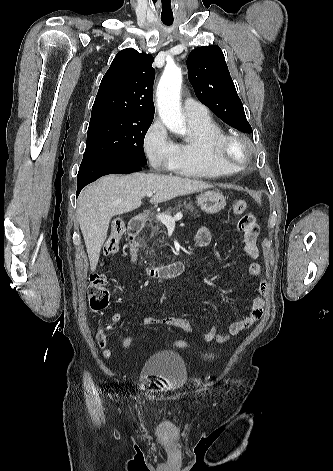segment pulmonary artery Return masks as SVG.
<instances>
[{"label": "pulmonary artery", "mask_w": 333, "mask_h": 471, "mask_svg": "<svg viewBox=\"0 0 333 471\" xmlns=\"http://www.w3.org/2000/svg\"><path fill=\"white\" fill-rule=\"evenodd\" d=\"M184 111L188 119H196L208 114L207 107L192 98L184 101Z\"/></svg>", "instance_id": "e3ab8cb5"}]
</instances>
